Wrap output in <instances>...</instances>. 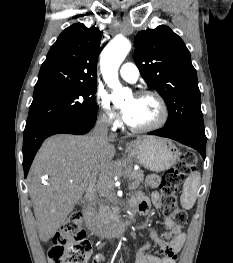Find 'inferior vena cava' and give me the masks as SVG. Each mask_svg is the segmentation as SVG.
I'll return each instance as SVG.
<instances>
[{
    "label": "inferior vena cava",
    "mask_w": 233,
    "mask_h": 263,
    "mask_svg": "<svg viewBox=\"0 0 233 263\" xmlns=\"http://www.w3.org/2000/svg\"><path fill=\"white\" fill-rule=\"evenodd\" d=\"M111 120L107 116H102L98 119L95 128L92 133V139L95 141L96 147L102 148L106 145L108 141V129L110 126ZM102 185V182H99L96 184L95 182H92L89 185L88 191H87V197L90 201H92L97 191L100 189Z\"/></svg>",
    "instance_id": "1"
}]
</instances>
